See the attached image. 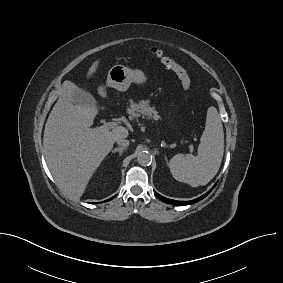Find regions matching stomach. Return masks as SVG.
<instances>
[{
    "instance_id": "obj_1",
    "label": "stomach",
    "mask_w": 283,
    "mask_h": 283,
    "mask_svg": "<svg viewBox=\"0 0 283 283\" xmlns=\"http://www.w3.org/2000/svg\"><path fill=\"white\" fill-rule=\"evenodd\" d=\"M147 77L142 70H132L124 65H114L108 72L106 86L115 88L119 91H126L132 82L143 84ZM99 93L105 96L104 86L98 88Z\"/></svg>"
}]
</instances>
